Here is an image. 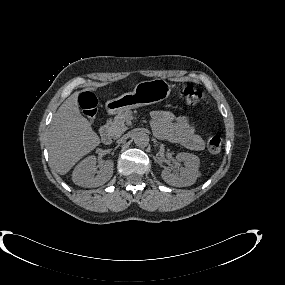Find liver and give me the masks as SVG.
I'll return each mask as SVG.
<instances>
[{"label":"liver","instance_id":"obj_1","mask_svg":"<svg viewBox=\"0 0 285 285\" xmlns=\"http://www.w3.org/2000/svg\"><path fill=\"white\" fill-rule=\"evenodd\" d=\"M79 94L80 91H76L63 102L48 131L50 163L60 175H65L83 156L100 144L90 122L80 113Z\"/></svg>","mask_w":285,"mask_h":285}]
</instances>
